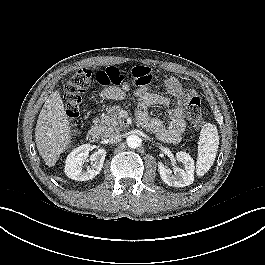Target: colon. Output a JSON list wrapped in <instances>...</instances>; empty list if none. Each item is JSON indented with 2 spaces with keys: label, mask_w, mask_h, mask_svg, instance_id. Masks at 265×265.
<instances>
[{
  "label": "colon",
  "mask_w": 265,
  "mask_h": 265,
  "mask_svg": "<svg viewBox=\"0 0 265 265\" xmlns=\"http://www.w3.org/2000/svg\"><path fill=\"white\" fill-rule=\"evenodd\" d=\"M129 77L138 83L146 82V79H142L133 73H130ZM93 81L102 85H121L125 81V76L119 69L109 67L104 71L81 69L70 77L64 87V99L73 135L79 132V115L84 93ZM186 118L192 127L200 128L203 125L201 100L197 95H192L189 100L186 108Z\"/></svg>",
  "instance_id": "obj_1"
}]
</instances>
